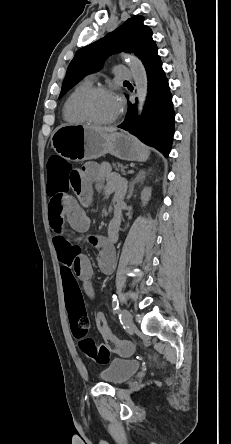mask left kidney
Segmentation results:
<instances>
[{
  "mask_svg": "<svg viewBox=\"0 0 231 444\" xmlns=\"http://www.w3.org/2000/svg\"><path fill=\"white\" fill-rule=\"evenodd\" d=\"M151 197V188H144V190L141 193V200L144 204H147V202L149 201Z\"/></svg>",
  "mask_w": 231,
  "mask_h": 444,
  "instance_id": "5707ae66",
  "label": "left kidney"
}]
</instances>
